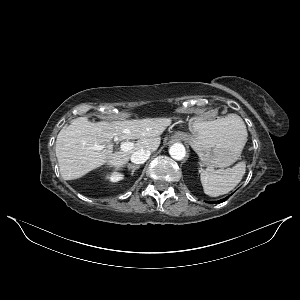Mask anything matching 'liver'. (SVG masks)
Segmentation results:
<instances>
[{
	"label": "liver",
	"mask_w": 300,
	"mask_h": 300,
	"mask_svg": "<svg viewBox=\"0 0 300 300\" xmlns=\"http://www.w3.org/2000/svg\"><path fill=\"white\" fill-rule=\"evenodd\" d=\"M169 118H148L115 122H91L86 117L74 119L62 128L56 139V157L65 180L80 178L102 165L115 169L125 166L131 155L140 149L154 152L160 135L169 126ZM134 140L128 151H112L111 140Z\"/></svg>",
	"instance_id": "obj_1"
}]
</instances>
